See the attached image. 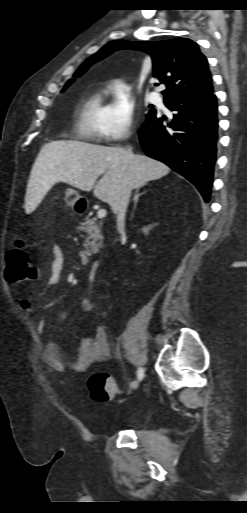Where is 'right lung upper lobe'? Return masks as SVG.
I'll list each match as a JSON object with an SVG mask.
<instances>
[{
	"instance_id": "right-lung-upper-lobe-1",
	"label": "right lung upper lobe",
	"mask_w": 247,
	"mask_h": 513,
	"mask_svg": "<svg viewBox=\"0 0 247 513\" xmlns=\"http://www.w3.org/2000/svg\"><path fill=\"white\" fill-rule=\"evenodd\" d=\"M117 49L141 50L151 55L154 77L166 86V89L162 91L165 100L179 97H202L214 92L208 61L200 52L198 45L187 38L158 42L111 41L89 57L74 76H80L93 63L107 57Z\"/></svg>"
}]
</instances>
